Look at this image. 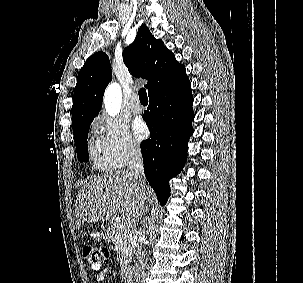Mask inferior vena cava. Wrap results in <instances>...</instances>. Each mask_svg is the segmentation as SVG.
Here are the masks:
<instances>
[{
  "mask_svg": "<svg viewBox=\"0 0 303 283\" xmlns=\"http://www.w3.org/2000/svg\"><path fill=\"white\" fill-rule=\"evenodd\" d=\"M128 165H129V174L130 176L141 179L144 176V169H143V159L141 150L137 145H131L128 152ZM146 200V196L143 197ZM147 210V208H146ZM144 252L141 253L137 252V261L135 262L134 266V279L132 283H144V276H145V263H144Z\"/></svg>",
  "mask_w": 303,
  "mask_h": 283,
  "instance_id": "1",
  "label": "inferior vena cava"
}]
</instances>
